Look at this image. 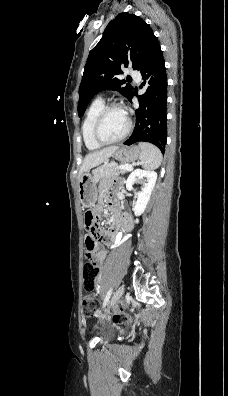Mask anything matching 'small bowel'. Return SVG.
<instances>
[{"label": "small bowel", "mask_w": 228, "mask_h": 396, "mask_svg": "<svg viewBox=\"0 0 228 396\" xmlns=\"http://www.w3.org/2000/svg\"><path fill=\"white\" fill-rule=\"evenodd\" d=\"M109 188H104L105 191H108ZM108 205L109 208L113 211V214H115V209H114V201L112 198H109L108 200ZM92 212L95 213L96 215H100L102 211V206L101 203L99 202L97 205H95L92 209ZM124 218L127 219L128 221V230L130 229V223L127 217L123 216ZM127 230V231H128ZM97 235L99 240L106 241V242H113L115 238V232L113 229H108V230H98ZM93 260L95 263L99 266L102 265L106 258V252L102 249H96L95 252L92 255ZM101 283H102V276L99 274L97 280H96V289L97 291H100L101 289Z\"/></svg>", "instance_id": "small-bowel-1"}]
</instances>
